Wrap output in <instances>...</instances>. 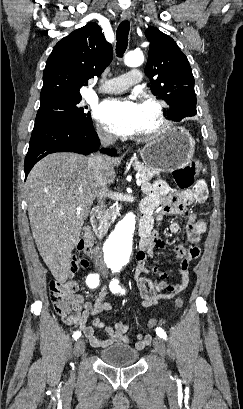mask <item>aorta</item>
Returning <instances> with one entry per match:
<instances>
[{
  "label": "aorta",
  "instance_id": "1",
  "mask_svg": "<svg viewBox=\"0 0 243 409\" xmlns=\"http://www.w3.org/2000/svg\"><path fill=\"white\" fill-rule=\"evenodd\" d=\"M124 62L127 66L138 67L144 62V56L140 51H131L125 56ZM135 223L134 213L129 212L110 234L106 248L112 257L125 258L131 254Z\"/></svg>",
  "mask_w": 243,
  "mask_h": 409
}]
</instances>
